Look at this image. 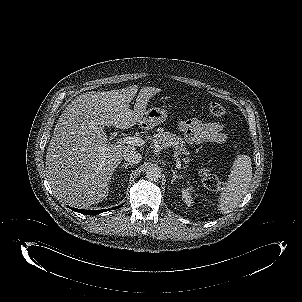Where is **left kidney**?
<instances>
[{"mask_svg":"<svg viewBox=\"0 0 302 302\" xmlns=\"http://www.w3.org/2000/svg\"><path fill=\"white\" fill-rule=\"evenodd\" d=\"M181 194H182V199L184 200V202L186 203L187 206H191L192 205V196H191V189L190 188H182L181 190Z\"/></svg>","mask_w":302,"mask_h":302,"instance_id":"obj_1","label":"left kidney"}]
</instances>
